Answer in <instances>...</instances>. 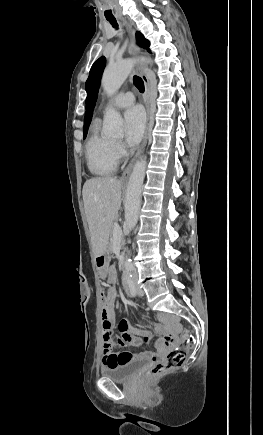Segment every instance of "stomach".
I'll return each instance as SVG.
<instances>
[{
	"instance_id": "obj_1",
	"label": "stomach",
	"mask_w": 263,
	"mask_h": 435,
	"mask_svg": "<svg viewBox=\"0 0 263 435\" xmlns=\"http://www.w3.org/2000/svg\"><path fill=\"white\" fill-rule=\"evenodd\" d=\"M96 260V265H97V269L98 271H100V275H105V269L109 264V255L108 253L105 251L104 253L96 256L95 258Z\"/></svg>"
}]
</instances>
